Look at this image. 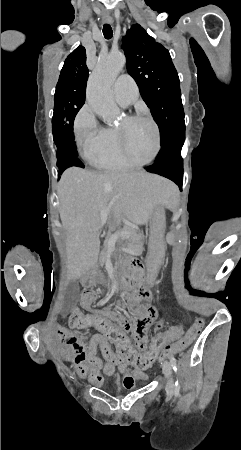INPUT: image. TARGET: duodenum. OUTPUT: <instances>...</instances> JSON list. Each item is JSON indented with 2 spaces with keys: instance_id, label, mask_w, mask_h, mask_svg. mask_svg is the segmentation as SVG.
I'll return each mask as SVG.
<instances>
[{
  "instance_id": "obj_1",
  "label": "duodenum",
  "mask_w": 241,
  "mask_h": 450,
  "mask_svg": "<svg viewBox=\"0 0 241 450\" xmlns=\"http://www.w3.org/2000/svg\"><path fill=\"white\" fill-rule=\"evenodd\" d=\"M118 274L119 288L131 292H140L145 290L143 269L139 260L132 258L124 260L118 267ZM98 275V269H91L83 277L84 284H94L98 278Z\"/></svg>"
}]
</instances>
